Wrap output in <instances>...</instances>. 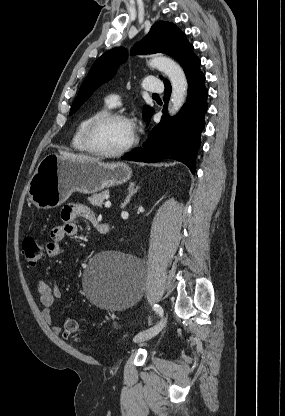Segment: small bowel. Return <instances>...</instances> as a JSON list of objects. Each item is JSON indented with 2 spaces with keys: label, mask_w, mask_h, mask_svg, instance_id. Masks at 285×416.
<instances>
[{
  "label": "small bowel",
  "mask_w": 285,
  "mask_h": 416,
  "mask_svg": "<svg viewBox=\"0 0 285 416\" xmlns=\"http://www.w3.org/2000/svg\"><path fill=\"white\" fill-rule=\"evenodd\" d=\"M60 215L62 224L51 229V240L46 245V252L49 257H58L62 252L61 241L66 237H71L78 233V227L75 224L77 218L87 220L95 226L100 224L94 212L84 205H67L63 207ZM37 290L43 307L42 314L45 322L56 335H61L62 328L54 322L52 315L54 306L61 297L58 285H50L44 281H40Z\"/></svg>",
  "instance_id": "c3829d8e"
}]
</instances>
